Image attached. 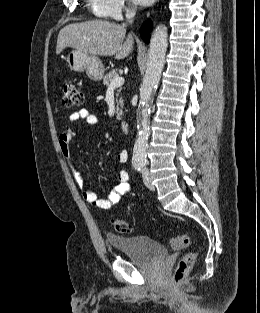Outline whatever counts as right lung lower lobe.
<instances>
[{
  "label": "right lung lower lobe",
  "instance_id": "1",
  "mask_svg": "<svg viewBox=\"0 0 260 313\" xmlns=\"http://www.w3.org/2000/svg\"><path fill=\"white\" fill-rule=\"evenodd\" d=\"M151 24L145 23L140 29L141 37L148 43L150 38Z\"/></svg>",
  "mask_w": 260,
  "mask_h": 313
}]
</instances>
